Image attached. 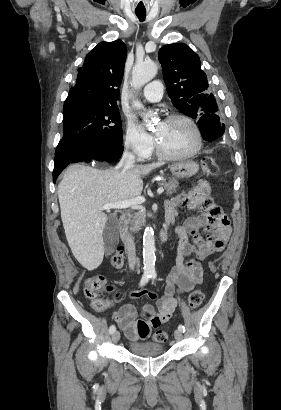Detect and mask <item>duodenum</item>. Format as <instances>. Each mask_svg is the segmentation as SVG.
Wrapping results in <instances>:
<instances>
[{"instance_id": "obj_1", "label": "duodenum", "mask_w": 281, "mask_h": 410, "mask_svg": "<svg viewBox=\"0 0 281 410\" xmlns=\"http://www.w3.org/2000/svg\"><path fill=\"white\" fill-rule=\"evenodd\" d=\"M129 218H130V215L127 213H124L120 215L119 217L120 235H121V238L125 246H127L128 241H129V235H128L127 228H126ZM166 239H167V228L164 227L160 232V241L165 242Z\"/></svg>"}]
</instances>
